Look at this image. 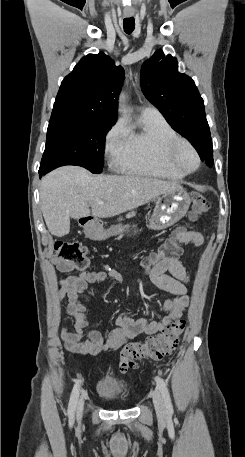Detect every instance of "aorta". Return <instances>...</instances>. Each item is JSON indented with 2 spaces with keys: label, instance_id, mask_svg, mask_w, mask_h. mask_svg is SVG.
<instances>
[{
  "label": "aorta",
  "instance_id": "1",
  "mask_svg": "<svg viewBox=\"0 0 245 457\" xmlns=\"http://www.w3.org/2000/svg\"><path fill=\"white\" fill-rule=\"evenodd\" d=\"M120 100H121L122 102H124V100H125V95H121V96H120ZM121 112H122V113H125V112H126L125 109H124V105L121 106Z\"/></svg>",
  "mask_w": 245,
  "mask_h": 457
}]
</instances>
